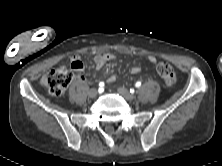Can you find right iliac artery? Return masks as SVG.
Instances as JSON below:
<instances>
[{
    "label": "right iliac artery",
    "instance_id": "right-iliac-artery-1",
    "mask_svg": "<svg viewBox=\"0 0 222 166\" xmlns=\"http://www.w3.org/2000/svg\"><path fill=\"white\" fill-rule=\"evenodd\" d=\"M99 86H100V88H102V87L104 86V83H103V82H100V83H99Z\"/></svg>",
    "mask_w": 222,
    "mask_h": 166
}]
</instances>
